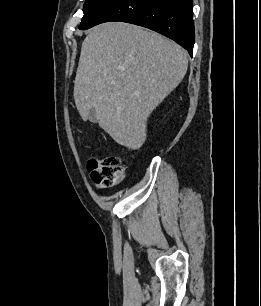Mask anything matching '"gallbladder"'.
I'll return each instance as SVG.
<instances>
[{
	"mask_svg": "<svg viewBox=\"0 0 261 306\" xmlns=\"http://www.w3.org/2000/svg\"><path fill=\"white\" fill-rule=\"evenodd\" d=\"M89 120H90L91 122H97V119H96V111H95L94 108H92V109L90 110V113H89Z\"/></svg>",
	"mask_w": 261,
	"mask_h": 306,
	"instance_id": "obj_1",
	"label": "gallbladder"
}]
</instances>
